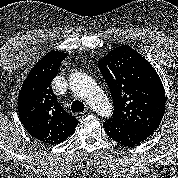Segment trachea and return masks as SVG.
<instances>
[{"label":"trachea","mask_w":178,"mask_h":178,"mask_svg":"<svg viewBox=\"0 0 178 178\" xmlns=\"http://www.w3.org/2000/svg\"><path fill=\"white\" fill-rule=\"evenodd\" d=\"M85 109L84 104L81 101H74L71 105V110L73 113L83 112Z\"/></svg>","instance_id":"1"}]
</instances>
